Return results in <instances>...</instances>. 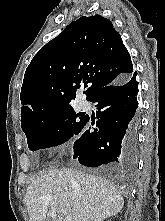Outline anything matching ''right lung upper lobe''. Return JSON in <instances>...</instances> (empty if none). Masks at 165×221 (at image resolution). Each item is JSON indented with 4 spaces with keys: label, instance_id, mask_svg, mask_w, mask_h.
<instances>
[{
    "label": "right lung upper lobe",
    "instance_id": "obj_1",
    "mask_svg": "<svg viewBox=\"0 0 165 221\" xmlns=\"http://www.w3.org/2000/svg\"><path fill=\"white\" fill-rule=\"evenodd\" d=\"M130 54L113 24L100 15L71 22L43 46L26 69L21 89V123L70 106L81 81L86 99L101 88L128 79Z\"/></svg>",
    "mask_w": 165,
    "mask_h": 221
}]
</instances>
